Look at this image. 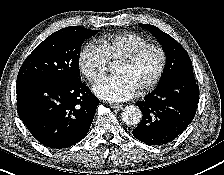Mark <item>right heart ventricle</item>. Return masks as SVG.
Listing matches in <instances>:
<instances>
[{
	"label": "right heart ventricle",
	"mask_w": 224,
	"mask_h": 175,
	"mask_svg": "<svg viewBox=\"0 0 224 175\" xmlns=\"http://www.w3.org/2000/svg\"><path fill=\"white\" fill-rule=\"evenodd\" d=\"M147 43L148 40L138 33L121 32L102 38L99 46L109 61H119Z\"/></svg>",
	"instance_id": "1"
}]
</instances>
